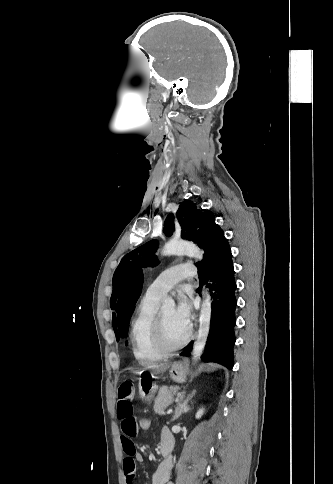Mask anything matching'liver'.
Instances as JSON below:
<instances>
[{"instance_id": "6515ba94", "label": "liver", "mask_w": 333, "mask_h": 484, "mask_svg": "<svg viewBox=\"0 0 333 484\" xmlns=\"http://www.w3.org/2000/svg\"><path fill=\"white\" fill-rule=\"evenodd\" d=\"M169 366H170L169 363L152 364L144 368L143 371L150 369L154 373L159 374V373H164L169 368Z\"/></svg>"}]
</instances>
